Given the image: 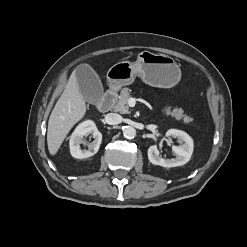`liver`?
I'll list each match as a JSON object with an SVG mask.
<instances>
[{"label":"liver","instance_id":"obj_1","mask_svg":"<svg viewBox=\"0 0 247 247\" xmlns=\"http://www.w3.org/2000/svg\"><path fill=\"white\" fill-rule=\"evenodd\" d=\"M86 109L74 71L49 117L47 144L52 156L58 152L71 128L84 117Z\"/></svg>","mask_w":247,"mask_h":247}]
</instances>
